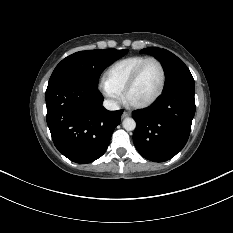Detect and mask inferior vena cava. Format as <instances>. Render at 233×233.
<instances>
[{"label":"inferior vena cava","mask_w":233,"mask_h":233,"mask_svg":"<svg viewBox=\"0 0 233 233\" xmlns=\"http://www.w3.org/2000/svg\"><path fill=\"white\" fill-rule=\"evenodd\" d=\"M103 106L110 111L119 110V105L113 100H105Z\"/></svg>","instance_id":"inferior-vena-cava-1"}]
</instances>
